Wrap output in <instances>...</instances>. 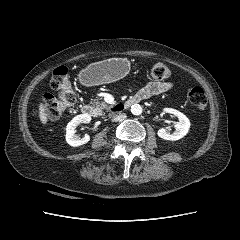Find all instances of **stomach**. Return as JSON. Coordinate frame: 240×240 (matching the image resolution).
Wrapping results in <instances>:
<instances>
[{
  "mask_svg": "<svg viewBox=\"0 0 240 240\" xmlns=\"http://www.w3.org/2000/svg\"><path fill=\"white\" fill-rule=\"evenodd\" d=\"M129 70L123 59L110 58L89 64L80 73L81 80L90 86L111 83L123 78Z\"/></svg>",
  "mask_w": 240,
  "mask_h": 240,
  "instance_id": "1",
  "label": "stomach"
}]
</instances>
